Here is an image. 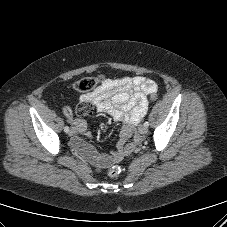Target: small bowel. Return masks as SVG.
Instances as JSON below:
<instances>
[{
	"label": "small bowel",
	"instance_id": "obj_1",
	"mask_svg": "<svg viewBox=\"0 0 227 227\" xmlns=\"http://www.w3.org/2000/svg\"><path fill=\"white\" fill-rule=\"evenodd\" d=\"M156 91V82L144 76L104 80L94 91L81 97L83 103L76 108V114L85 117L95 109L97 112L111 115L115 121L122 123L117 148L110 154L98 153L92 145L79 137L81 134L91 138L92 132L87 121L70 117L76 131V135L71 140L72 148L92 163L97 170L131 154L139 140L134 126L147 112L148 96L155 94Z\"/></svg>",
	"mask_w": 227,
	"mask_h": 227
}]
</instances>
